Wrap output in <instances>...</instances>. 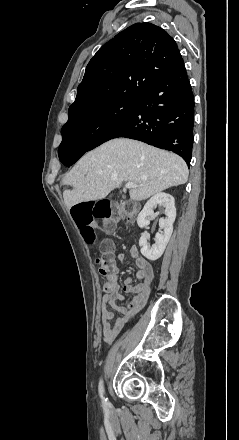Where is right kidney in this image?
Instances as JSON below:
<instances>
[{
  "label": "right kidney",
  "instance_id": "1",
  "mask_svg": "<svg viewBox=\"0 0 239 440\" xmlns=\"http://www.w3.org/2000/svg\"><path fill=\"white\" fill-rule=\"evenodd\" d=\"M174 202L173 196L165 194V192H159V194H155V196H152V198L148 200L142 212L138 214L137 224L139 228H147L150 224L149 216H154L153 210L155 206L165 208V216H167V218H160L159 220V226L163 232L162 234H159V232L156 234L155 244H148L149 234H142L139 240L141 254H143L147 260H151V262H155V260L161 258L160 253H162L163 248L169 247V240L173 232V222H175L176 218Z\"/></svg>",
  "mask_w": 239,
  "mask_h": 440
}]
</instances>
